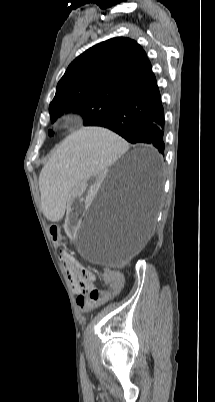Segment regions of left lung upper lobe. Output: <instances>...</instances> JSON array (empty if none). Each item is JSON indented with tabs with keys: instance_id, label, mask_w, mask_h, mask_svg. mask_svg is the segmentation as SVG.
Segmentation results:
<instances>
[{
	"instance_id": "5c2ea615",
	"label": "left lung upper lobe",
	"mask_w": 215,
	"mask_h": 402,
	"mask_svg": "<svg viewBox=\"0 0 215 402\" xmlns=\"http://www.w3.org/2000/svg\"><path fill=\"white\" fill-rule=\"evenodd\" d=\"M152 72L145 51L134 40L116 37L78 56L57 84L49 112L53 123L67 110H76L85 126H96ZM48 134L53 135L49 130Z\"/></svg>"
}]
</instances>
